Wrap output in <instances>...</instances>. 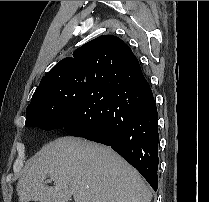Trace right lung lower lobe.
<instances>
[{"label": "right lung lower lobe", "mask_w": 209, "mask_h": 202, "mask_svg": "<svg viewBox=\"0 0 209 202\" xmlns=\"http://www.w3.org/2000/svg\"><path fill=\"white\" fill-rule=\"evenodd\" d=\"M157 107L139 62L110 69L88 89L79 111L63 126L67 134L110 146L158 188Z\"/></svg>", "instance_id": "obj_1"}]
</instances>
